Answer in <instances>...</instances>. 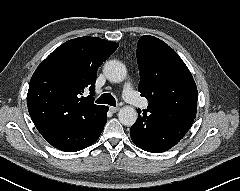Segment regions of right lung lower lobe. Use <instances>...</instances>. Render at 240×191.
Here are the masks:
<instances>
[{
	"mask_svg": "<svg viewBox=\"0 0 240 191\" xmlns=\"http://www.w3.org/2000/svg\"><path fill=\"white\" fill-rule=\"evenodd\" d=\"M107 111L108 108L104 106L94 118L80 125H56L41 132V135L53 147L64 152L82 150L99 138L107 121Z\"/></svg>",
	"mask_w": 240,
	"mask_h": 191,
	"instance_id": "98d812e1",
	"label": "right lung lower lobe"
}]
</instances>
